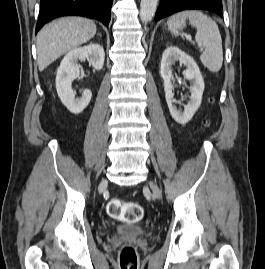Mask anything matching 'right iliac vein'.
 I'll return each mask as SVG.
<instances>
[{
	"label": "right iliac vein",
	"mask_w": 265,
	"mask_h": 269,
	"mask_svg": "<svg viewBox=\"0 0 265 269\" xmlns=\"http://www.w3.org/2000/svg\"><path fill=\"white\" fill-rule=\"evenodd\" d=\"M107 180L106 179H103L102 181H101V183H100V188H104V187H106L107 186Z\"/></svg>",
	"instance_id": "63e3f726"
}]
</instances>
